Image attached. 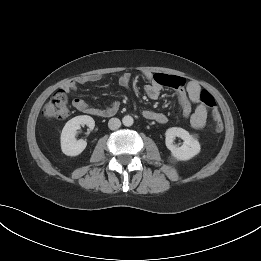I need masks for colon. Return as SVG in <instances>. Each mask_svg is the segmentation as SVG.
I'll return each instance as SVG.
<instances>
[{
    "mask_svg": "<svg viewBox=\"0 0 261 261\" xmlns=\"http://www.w3.org/2000/svg\"><path fill=\"white\" fill-rule=\"evenodd\" d=\"M200 98L204 105L212 109L213 118L215 122V129L218 132L222 131L223 122L219 112L216 109V104L213 96L209 92L202 90ZM43 115L48 119L57 120H62L68 117L69 109L67 106V98L63 90L57 91L51 97L48 103L44 106Z\"/></svg>",
    "mask_w": 261,
    "mask_h": 261,
    "instance_id": "1",
    "label": "colon"
}]
</instances>
